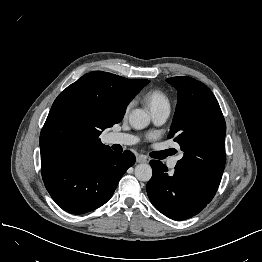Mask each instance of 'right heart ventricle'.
<instances>
[{
  "label": "right heart ventricle",
  "instance_id": "right-heart-ventricle-1",
  "mask_svg": "<svg viewBox=\"0 0 262 262\" xmlns=\"http://www.w3.org/2000/svg\"><path fill=\"white\" fill-rule=\"evenodd\" d=\"M145 101L151 111L160 107H170L168 97L160 90H151L145 95Z\"/></svg>",
  "mask_w": 262,
  "mask_h": 262
}]
</instances>
